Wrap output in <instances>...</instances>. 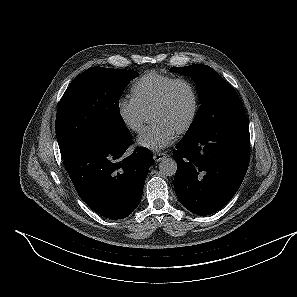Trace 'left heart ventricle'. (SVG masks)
Listing matches in <instances>:
<instances>
[{
  "instance_id": "left-heart-ventricle-1",
  "label": "left heart ventricle",
  "mask_w": 297,
  "mask_h": 297,
  "mask_svg": "<svg viewBox=\"0 0 297 297\" xmlns=\"http://www.w3.org/2000/svg\"><path fill=\"white\" fill-rule=\"evenodd\" d=\"M191 109L192 98L189 89L183 84H178L172 90L167 104L151 113L150 121L163 123L176 133L189 118Z\"/></svg>"
}]
</instances>
